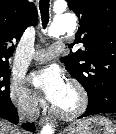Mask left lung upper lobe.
<instances>
[{
	"mask_svg": "<svg viewBox=\"0 0 116 134\" xmlns=\"http://www.w3.org/2000/svg\"><path fill=\"white\" fill-rule=\"evenodd\" d=\"M79 18L75 41L84 49L61 58L85 88L88 103L116 101V0H67Z\"/></svg>",
	"mask_w": 116,
	"mask_h": 134,
	"instance_id": "1",
	"label": "left lung upper lobe"
}]
</instances>
